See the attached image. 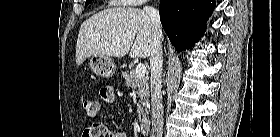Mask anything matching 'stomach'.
<instances>
[{"label": "stomach", "instance_id": "0dacf381", "mask_svg": "<svg viewBox=\"0 0 280 137\" xmlns=\"http://www.w3.org/2000/svg\"><path fill=\"white\" fill-rule=\"evenodd\" d=\"M89 64L94 74L104 78L111 77L116 70L115 63L109 57L93 55Z\"/></svg>", "mask_w": 280, "mask_h": 137}]
</instances>
